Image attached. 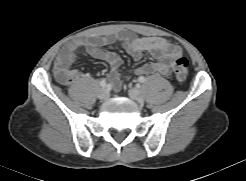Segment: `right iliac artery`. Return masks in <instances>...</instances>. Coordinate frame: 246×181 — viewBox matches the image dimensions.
I'll return each instance as SVG.
<instances>
[{"label":"right iliac artery","mask_w":246,"mask_h":181,"mask_svg":"<svg viewBox=\"0 0 246 181\" xmlns=\"http://www.w3.org/2000/svg\"><path fill=\"white\" fill-rule=\"evenodd\" d=\"M100 86H101L102 88H105V87L107 86V81H106V79H102V80L100 81Z\"/></svg>","instance_id":"obj_1"}]
</instances>
